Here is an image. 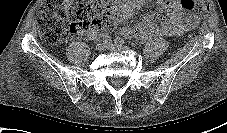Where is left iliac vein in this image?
Segmentation results:
<instances>
[{
	"label": "left iliac vein",
	"mask_w": 227,
	"mask_h": 133,
	"mask_svg": "<svg viewBox=\"0 0 227 133\" xmlns=\"http://www.w3.org/2000/svg\"><path fill=\"white\" fill-rule=\"evenodd\" d=\"M108 48L110 50H113V51H122V50H124L126 48V46L123 45V44L122 45H120V44H110L108 46Z\"/></svg>",
	"instance_id": "obj_1"
}]
</instances>
